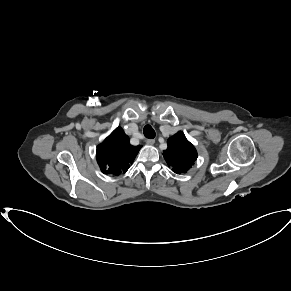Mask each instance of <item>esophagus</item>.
Instances as JSON below:
<instances>
[{
	"instance_id": "1",
	"label": "esophagus",
	"mask_w": 291,
	"mask_h": 291,
	"mask_svg": "<svg viewBox=\"0 0 291 291\" xmlns=\"http://www.w3.org/2000/svg\"><path fill=\"white\" fill-rule=\"evenodd\" d=\"M146 143H147L148 145H153V144L155 143V140H154V139H148V140L146 141Z\"/></svg>"
}]
</instances>
